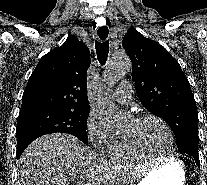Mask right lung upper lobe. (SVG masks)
<instances>
[{
	"mask_svg": "<svg viewBox=\"0 0 207 185\" xmlns=\"http://www.w3.org/2000/svg\"><path fill=\"white\" fill-rule=\"evenodd\" d=\"M89 49L76 37L44 55L32 72L20 111L34 108L89 112L86 73Z\"/></svg>",
	"mask_w": 207,
	"mask_h": 185,
	"instance_id": "cb5924a9",
	"label": "right lung upper lobe"
}]
</instances>
